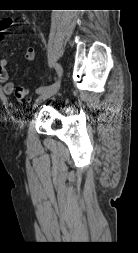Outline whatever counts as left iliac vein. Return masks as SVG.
<instances>
[{"instance_id":"obj_1","label":"left iliac vein","mask_w":138,"mask_h":253,"mask_svg":"<svg viewBox=\"0 0 138 253\" xmlns=\"http://www.w3.org/2000/svg\"><path fill=\"white\" fill-rule=\"evenodd\" d=\"M60 89V83L57 86L49 87L44 92L40 93L33 104V109H36L42 102L53 96Z\"/></svg>"}]
</instances>
